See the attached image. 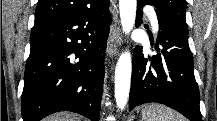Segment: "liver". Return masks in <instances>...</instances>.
<instances>
[{
	"instance_id": "liver-1",
	"label": "liver",
	"mask_w": 217,
	"mask_h": 121,
	"mask_svg": "<svg viewBox=\"0 0 217 121\" xmlns=\"http://www.w3.org/2000/svg\"><path fill=\"white\" fill-rule=\"evenodd\" d=\"M44 121H77V117L72 113L62 112L46 117Z\"/></svg>"
}]
</instances>
